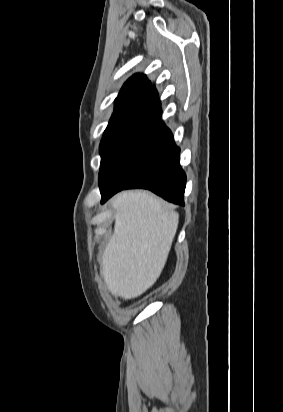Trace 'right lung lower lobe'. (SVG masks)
Returning a JSON list of instances; mask_svg holds the SVG:
<instances>
[{"mask_svg": "<svg viewBox=\"0 0 283 412\" xmlns=\"http://www.w3.org/2000/svg\"><path fill=\"white\" fill-rule=\"evenodd\" d=\"M179 155L171 131L159 119L100 180L101 203L121 190L145 188L169 202L184 205L186 175Z\"/></svg>", "mask_w": 283, "mask_h": 412, "instance_id": "98d812e1", "label": "right lung lower lobe"}]
</instances>
